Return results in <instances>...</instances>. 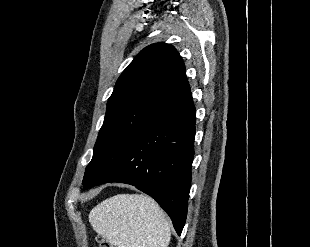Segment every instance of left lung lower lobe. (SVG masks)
Listing matches in <instances>:
<instances>
[{"label": "left lung lower lobe", "mask_w": 310, "mask_h": 247, "mask_svg": "<svg viewBox=\"0 0 310 247\" xmlns=\"http://www.w3.org/2000/svg\"><path fill=\"white\" fill-rule=\"evenodd\" d=\"M195 113L189 92L148 126L95 185L108 182L134 185L158 202L180 235L191 183Z\"/></svg>", "instance_id": "left-lung-lower-lobe-1"}]
</instances>
